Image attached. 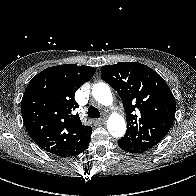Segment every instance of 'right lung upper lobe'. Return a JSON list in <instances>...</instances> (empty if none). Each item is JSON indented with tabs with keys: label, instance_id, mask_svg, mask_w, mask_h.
I'll list each match as a JSON object with an SVG mask.
<instances>
[{
	"label": "right lung upper lobe",
	"instance_id": "right-lung-upper-lobe-1",
	"mask_svg": "<svg viewBox=\"0 0 196 196\" xmlns=\"http://www.w3.org/2000/svg\"><path fill=\"white\" fill-rule=\"evenodd\" d=\"M94 73V67L58 65L41 71L29 82L21 112L28 134L39 147L59 156L90 135L92 128L83 125L72 111L78 108L76 90Z\"/></svg>",
	"mask_w": 196,
	"mask_h": 196
}]
</instances>
